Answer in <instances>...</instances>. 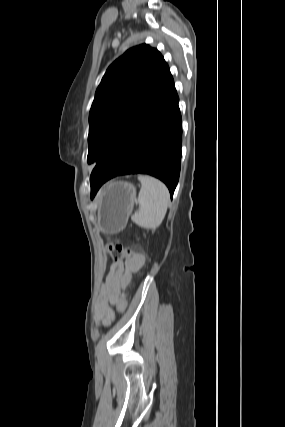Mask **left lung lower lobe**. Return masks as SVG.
<instances>
[{
  "label": "left lung lower lobe",
  "mask_w": 285,
  "mask_h": 427,
  "mask_svg": "<svg viewBox=\"0 0 285 427\" xmlns=\"http://www.w3.org/2000/svg\"><path fill=\"white\" fill-rule=\"evenodd\" d=\"M178 101L169 71L149 104L97 161L90 176L92 198L107 180L136 173L159 178L173 196L179 179L182 143Z\"/></svg>",
  "instance_id": "obj_1"
}]
</instances>
